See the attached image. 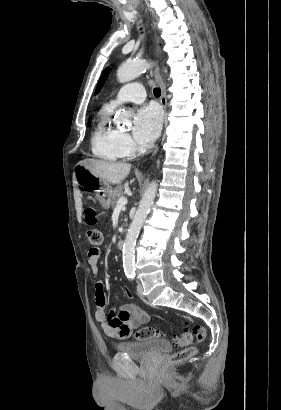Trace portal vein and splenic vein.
<instances>
[{
	"label": "portal vein and splenic vein",
	"mask_w": 281,
	"mask_h": 410,
	"mask_svg": "<svg viewBox=\"0 0 281 410\" xmlns=\"http://www.w3.org/2000/svg\"><path fill=\"white\" fill-rule=\"evenodd\" d=\"M127 198L126 197H121L119 198L116 207L121 208L127 204Z\"/></svg>",
	"instance_id": "obj_1"
}]
</instances>
